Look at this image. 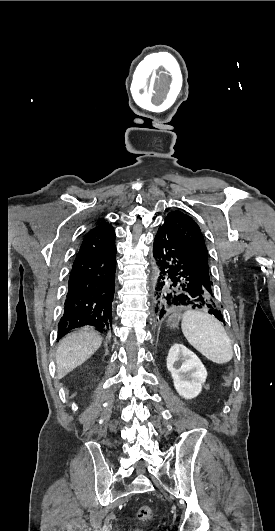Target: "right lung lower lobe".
<instances>
[{
    "mask_svg": "<svg viewBox=\"0 0 275 531\" xmlns=\"http://www.w3.org/2000/svg\"><path fill=\"white\" fill-rule=\"evenodd\" d=\"M113 227L99 226L84 237L69 276L58 339L86 325L107 333L112 326L116 247Z\"/></svg>",
    "mask_w": 275,
    "mask_h": 531,
    "instance_id": "1",
    "label": "right lung lower lobe"
}]
</instances>
